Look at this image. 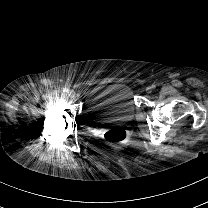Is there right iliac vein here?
Wrapping results in <instances>:
<instances>
[{
	"label": "right iliac vein",
	"instance_id": "63e3f726",
	"mask_svg": "<svg viewBox=\"0 0 208 208\" xmlns=\"http://www.w3.org/2000/svg\"><path fill=\"white\" fill-rule=\"evenodd\" d=\"M75 95H76V93H75V91H73V90H71V91L68 93V96H69L70 98H74Z\"/></svg>",
	"mask_w": 208,
	"mask_h": 208
}]
</instances>
